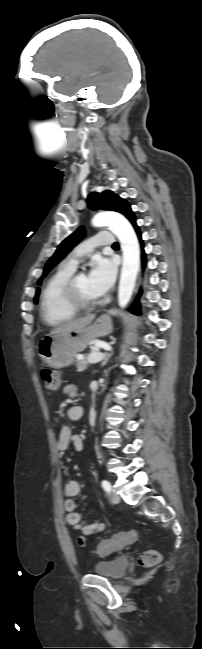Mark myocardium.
Returning <instances> with one entry per match:
<instances>
[{"mask_svg":"<svg viewBox=\"0 0 202 649\" xmlns=\"http://www.w3.org/2000/svg\"><path fill=\"white\" fill-rule=\"evenodd\" d=\"M81 275H82L81 273H74L67 280L64 286V297L68 302V304L73 309L77 311H87L96 307L99 304L100 299L99 298L87 299L80 294L78 290L77 281Z\"/></svg>","mask_w":202,"mask_h":649,"instance_id":"1","label":"myocardium"}]
</instances>
